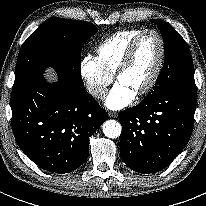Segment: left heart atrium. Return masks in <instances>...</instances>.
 Masks as SVG:
<instances>
[{"label":"left heart atrium","instance_id":"obj_1","mask_svg":"<svg viewBox=\"0 0 206 206\" xmlns=\"http://www.w3.org/2000/svg\"><path fill=\"white\" fill-rule=\"evenodd\" d=\"M136 94L124 84L117 82L105 99V105L111 110H120L135 99Z\"/></svg>","mask_w":206,"mask_h":206}]
</instances>
